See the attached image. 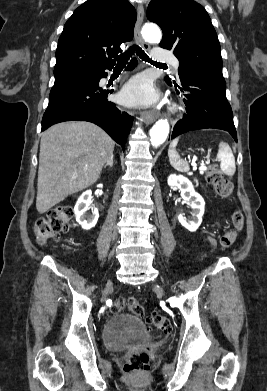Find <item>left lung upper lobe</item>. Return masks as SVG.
Segmentation results:
<instances>
[{
	"mask_svg": "<svg viewBox=\"0 0 267 391\" xmlns=\"http://www.w3.org/2000/svg\"><path fill=\"white\" fill-rule=\"evenodd\" d=\"M147 18L163 31L160 47L178 58V75L188 71L222 75L220 44L203 6L193 0H152Z\"/></svg>",
	"mask_w": 267,
	"mask_h": 391,
	"instance_id": "5c2ea615",
	"label": "left lung upper lobe"
}]
</instances>
